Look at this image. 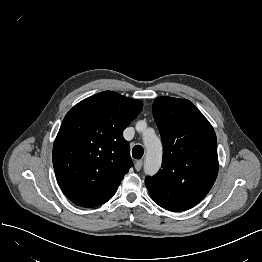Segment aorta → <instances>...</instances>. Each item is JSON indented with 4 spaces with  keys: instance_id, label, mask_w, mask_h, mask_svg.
<instances>
[{
    "instance_id": "obj_1",
    "label": "aorta",
    "mask_w": 262,
    "mask_h": 262,
    "mask_svg": "<svg viewBox=\"0 0 262 262\" xmlns=\"http://www.w3.org/2000/svg\"><path fill=\"white\" fill-rule=\"evenodd\" d=\"M143 125V123H138L137 129L139 130ZM143 140L146 148L144 171L149 175H154L158 172L162 163V143L153 129L144 130Z\"/></svg>"
}]
</instances>
